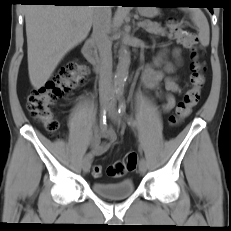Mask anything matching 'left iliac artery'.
I'll return each instance as SVG.
<instances>
[{
  "mask_svg": "<svg viewBox=\"0 0 231 231\" xmlns=\"http://www.w3.org/2000/svg\"><path fill=\"white\" fill-rule=\"evenodd\" d=\"M117 99L119 101V106H118V113L121 116H124L127 119V124L129 126H136V122L131 120L130 118L126 117V101L124 98V90L123 89H118L117 92Z\"/></svg>",
  "mask_w": 231,
  "mask_h": 231,
  "instance_id": "obj_1",
  "label": "left iliac artery"
}]
</instances>
